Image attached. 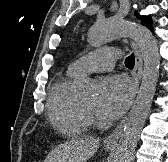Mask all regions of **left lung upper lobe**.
I'll return each instance as SVG.
<instances>
[{"instance_id":"left-lung-upper-lobe-1","label":"left lung upper lobe","mask_w":168,"mask_h":162,"mask_svg":"<svg viewBox=\"0 0 168 162\" xmlns=\"http://www.w3.org/2000/svg\"><path fill=\"white\" fill-rule=\"evenodd\" d=\"M135 15L137 16L138 19L141 20V23L147 27H150L151 24H152V18L151 16H142V15H139L138 12L136 11L135 12Z\"/></svg>"}]
</instances>
